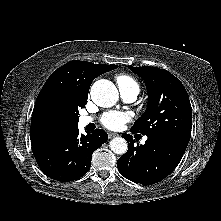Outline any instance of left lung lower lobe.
Instances as JSON below:
<instances>
[{"mask_svg": "<svg viewBox=\"0 0 221 221\" xmlns=\"http://www.w3.org/2000/svg\"><path fill=\"white\" fill-rule=\"evenodd\" d=\"M129 144L127 153L118 161L122 176L134 183L151 185L169 175L179 164L185 147L160 137H148L144 145L134 146L135 140L123 134Z\"/></svg>", "mask_w": 221, "mask_h": 221, "instance_id": "left-lung-lower-lobe-1", "label": "left lung lower lobe"}]
</instances>
